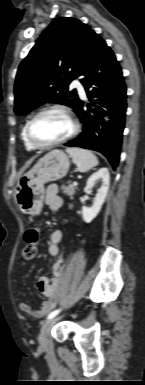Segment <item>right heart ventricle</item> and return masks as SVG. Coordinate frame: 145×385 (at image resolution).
<instances>
[{"mask_svg":"<svg viewBox=\"0 0 145 385\" xmlns=\"http://www.w3.org/2000/svg\"><path fill=\"white\" fill-rule=\"evenodd\" d=\"M26 125H27V124H26ZM26 125H25V126L23 127V129H22L21 137H22L23 144H24L26 150H28V151H33L34 149L28 144V142H27V140H26V137H25Z\"/></svg>","mask_w":145,"mask_h":385,"instance_id":"1","label":"right heart ventricle"}]
</instances>
